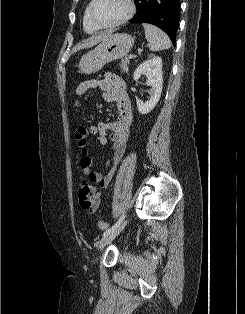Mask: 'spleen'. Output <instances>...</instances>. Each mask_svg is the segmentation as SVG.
Returning <instances> with one entry per match:
<instances>
[{
	"label": "spleen",
	"mask_w": 245,
	"mask_h": 314,
	"mask_svg": "<svg viewBox=\"0 0 245 314\" xmlns=\"http://www.w3.org/2000/svg\"><path fill=\"white\" fill-rule=\"evenodd\" d=\"M142 26L151 51H161L171 47V41L164 31L148 23H143Z\"/></svg>",
	"instance_id": "3e777b00"
}]
</instances>
